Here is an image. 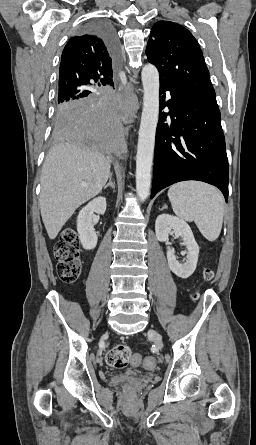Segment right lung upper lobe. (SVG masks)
Segmentation results:
<instances>
[{
  "instance_id": "cb5924a9",
  "label": "right lung upper lobe",
  "mask_w": 256,
  "mask_h": 445,
  "mask_svg": "<svg viewBox=\"0 0 256 445\" xmlns=\"http://www.w3.org/2000/svg\"><path fill=\"white\" fill-rule=\"evenodd\" d=\"M117 60L105 40L95 31L85 29L66 44L59 69L58 101L91 94L98 86H113Z\"/></svg>"
}]
</instances>
